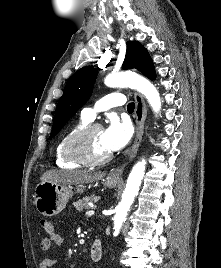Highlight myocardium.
<instances>
[{
  "label": "myocardium",
  "instance_id": "obj_1",
  "mask_svg": "<svg viewBox=\"0 0 221 268\" xmlns=\"http://www.w3.org/2000/svg\"><path fill=\"white\" fill-rule=\"evenodd\" d=\"M96 129H101V126L89 123L76 130L66 140L64 153L69 160L82 165H102L112 158L111 153L102 157L95 156L91 153L89 138Z\"/></svg>",
  "mask_w": 221,
  "mask_h": 268
}]
</instances>
